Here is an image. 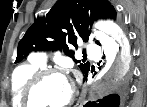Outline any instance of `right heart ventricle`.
Masks as SVG:
<instances>
[{
  "mask_svg": "<svg viewBox=\"0 0 147 107\" xmlns=\"http://www.w3.org/2000/svg\"><path fill=\"white\" fill-rule=\"evenodd\" d=\"M43 66L44 64L31 60L14 69L10 84V98L13 107H25L22 101L23 91L31 77Z\"/></svg>",
  "mask_w": 147,
  "mask_h": 107,
  "instance_id": "right-heart-ventricle-1",
  "label": "right heart ventricle"
}]
</instances>
